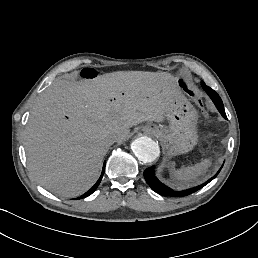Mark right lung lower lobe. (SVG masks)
I'll use <instances>...</instances> for the list:
<instances>
[{
  "instance_id": "98d812e1",
  "label": "right lung lower lobe",
  "mask_w": 258,
  "mask_h": 258,
  "mask_svg": "<svg viewBox=\"0 0 258 258\" xmlns=\"http://www.w3.org/2000/svg\"><path fill=\"white\" fill-rule=\"evenodd\" d=\"M104 171H105V162H104V165H103L102 174H101L99 180L96 182V184L88 192H86L85 194H83L82 196H80V197H78L76 199H81V198H84V197H87V196L91 195L96 190L98 185L100 184L101 179H102L103 174H104Z\"/></svg>"
}]
</instances>
